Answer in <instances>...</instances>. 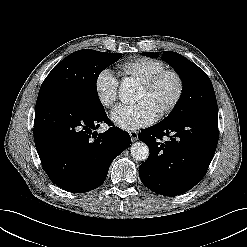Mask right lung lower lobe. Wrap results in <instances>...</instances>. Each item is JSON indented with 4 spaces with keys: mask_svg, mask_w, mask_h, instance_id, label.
<instances>
[{
    "mask_svg": "<svg viewBox=\"0 0 247 247\" xmlns=\"http://www.w3.org/2000/svg\"><path fill=\"white\" fill-rule=\"evenodd\" d=\"M110 123L105 111H91L58 94L37 98L34 141L48 177L60 188L84 193L99 187L110 164L131 143L117 127L97 134L100 123Z\"/></svg>",
    "mask_w": 247,
    "mask_h": 247,
    "instance_id": "1",
    "label": "right lung lower lobe"
}]
</instances>
